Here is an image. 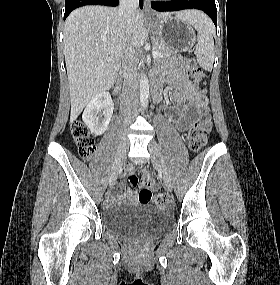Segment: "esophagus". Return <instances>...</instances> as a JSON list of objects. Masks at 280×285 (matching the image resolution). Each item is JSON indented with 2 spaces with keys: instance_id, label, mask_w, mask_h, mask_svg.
Masks as SVG:
<instances>
[{
  "instance_id": "1",
  "label": "esophagus",
  "mask_w": 280,
  "mask_h": 285,
  "mask_svg": "<svg viewBox=\"0 0 280 285\" xmlns=\"http://www.w3.org/2000/svg\"><path fill=\"white\" fill-rule=\"evenodd\" d=\"M144 13L146 16H151V9H150V5L149 2L147 0L144 1Z\"/></svg>"
}]
</instances>
